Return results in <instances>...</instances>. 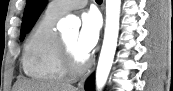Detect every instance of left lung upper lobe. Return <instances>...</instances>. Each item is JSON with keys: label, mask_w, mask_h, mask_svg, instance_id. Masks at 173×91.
<instances>
[{"label": "left lung upper lobe", "mask_w": 173, "mask_h": 91, "mask_svg": "<svg viewBox=\"0 0 173 91\" xmlns=\"http://www.w3.org/2000/svg\"><path fill=\"white\" fill-rule=\"evenodd\" d=\"M38 2H39L38 0H27L22 20V26H21V34H20L21 41L24 39L26 30L28 28L30 16Z\"/></svg>", "instance_id": "5c2ea615"}]
</instances>
